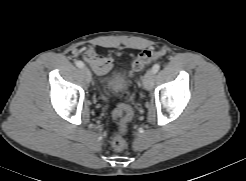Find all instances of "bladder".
I'll return each instance as SVG.
<instances>
[{
  "instance_id": "1",
  "label": "bladder",
  "mask_w": 246,
  "mask_h": 181,
  "mask_svg": "<svg viewBox=\"0 0 246 181\" xmlns=\"http://www.w3.org/2000/svg\"><path fill=\"white\" fill-rule=\"evenodd\" d=\"M127 85V77L123 69L116 70L111 78L109 90L111 93L121 92Z\"/></svg>"
}]
</instances>
